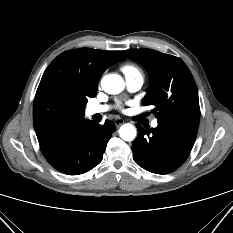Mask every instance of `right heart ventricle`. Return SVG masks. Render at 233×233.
<instances>
[{"mask_svg": "<svg viewBox=\"0 0 233 233\" xmlns=\"http://www.w3.org/2000/svg\"><path fill=\"white\" fill-rule=\"evenodd\" d=\"M122 71L126 77L142 76L141 70L134 64L123 65Z\"/></svg>", "mask_w": 233, "mask_h": 233, "instance_id": "e07e8e85", "label": "right heart ventricle"}]
</instances>
